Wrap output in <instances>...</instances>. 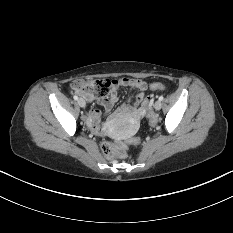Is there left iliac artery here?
<instances>
[{
  "label": "left iliac artery",
  "mask_w": 233,
  "mask_h": 233,
  "mask_svg": "<svg viewBox=\"0 0 233 233\" xmlns=\"http://www.w3.org/2000/svg\"><path fill=\"white\" fill-rule=\"evenodd\" d=\"M163 99H164V97H163V96H160V97H159V100H160V101H162Z\"/></svg>",
  "instance_id": "left-iliac-artery-1"
}]
</instances>
